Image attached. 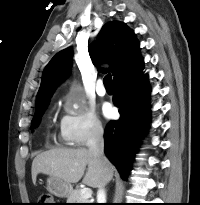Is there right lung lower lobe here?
<instances>
[{
    "label": "right lung lower lobe",
    "mask_w": 200,
    "mask_h": 205,
    "mask_svg": "<svg viewBox=\"0 0 200 205\" xmlns=\"http://www.w3.org/2000/svg\"><path fill=\"white\" fill-rule=\"evenodd\" d=\"M113 102L120 118L111 121L104 133L105 154L126 180L135 150L149 118L147 75L143 74V60L114 82Z\"/></svg>",
    "instance_id": "1"
}]
</instances>
